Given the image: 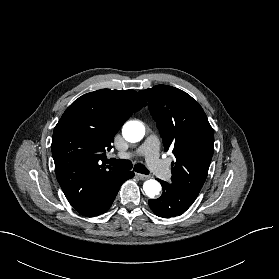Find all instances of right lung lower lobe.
I'll use <instances>...</instances> for the list:
<instances>
[{"label": "right lung lower lobe", "instance_id": "98d812e1", "mask_svg": "<svg viewBox=\"0 0 279 279\" xmlns=\"http://www.w3.org/2000/svg\"><path fill=\"white\" fill-rule=\"evenodd\" d=\"M133 176L134 173L131 171H122V173L106 183L93 206L79 211V213L86 217H94L105 213L111 207L122 183Z\"/></svg>", "mask_w": 279, "mask_h": 279}]
</instances>
